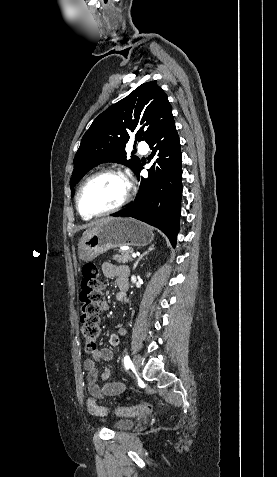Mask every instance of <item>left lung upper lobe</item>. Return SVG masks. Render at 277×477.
<instances>
[{
  "mask_svg": "<svg viewBox=\"0 0 277 477\" xmlns=\"http://www.w3.org/2000/svg\"><path fill=\"white\" fill-rule=\"evenodd\" d=\"M171 118L168 97L155 82L140 85L102 112L84 134L75 155L70 179L72 196L73 187L90 169L101 163H121L136 173L141 166L139 158L132 156L129 159L125 152L130 136L148 142Z\"/></svg>",
  "mask_w": 277,
  "mask_h": 477,
  "instance_id": "left-lung-upper-lobe-1",
  "label": "left lung upper lobe"
}]
</instances>
